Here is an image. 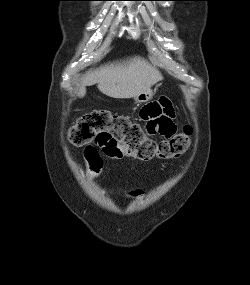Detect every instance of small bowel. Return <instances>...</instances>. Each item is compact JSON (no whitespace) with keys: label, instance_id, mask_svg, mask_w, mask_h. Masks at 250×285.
<instances>
[{"label":"small bowel","instance_id":"obj_1","mask_svg":"<svg viewBox=\"0 0 250 285\" xmlns=\"http://www.w3.org/2000/svg\"><path fill=\"white\" fill-rule=\"evenodd\" d=\"M140 117L145 121L144 127L146 128H143L145 136H174L177 132L173 122L174 109L171 102L165 98L146 104L140 112ZM113 157L121 158L122 156ZM85 159L93 175L101 172L103 162L96 148L87 147L85 150ZM130 194L131 196H137L141 194V191L136 190Z\"/></svg>","mask_w":250,"mask_h":285}]
</instances>
